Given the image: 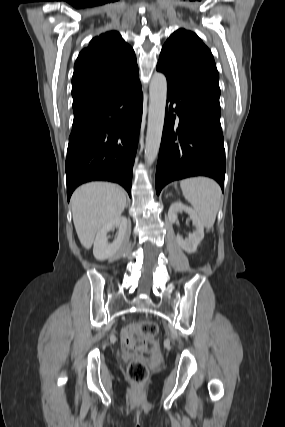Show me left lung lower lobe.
I'll return each instance as SVG.
<instances>
[{"instance_id":"0a47b994","label":"left lung lower lobe","mask_w":285,"mask_h":427,"mask_svg":"<svg viewBox=\"0 0 285 427\" xmlns=\"http://www.w3.org/2000/svg\"><path fill=\"white\" fill-rule=\"evenodd\" d=\"M167 103L156 169V193L191 176L214 178L224 189L226 170L219 99L166 73ZM176 112V115L173 114Z\"/></svg>"}]
</instances>
